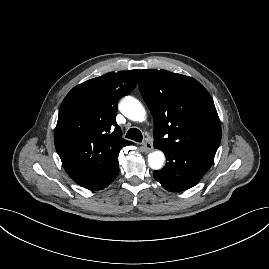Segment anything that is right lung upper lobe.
Here are the masks:
<instances>
[{
    "label": "right lung upper lobe",
    "mask_w": 269,
    "mask_h": 269,
    "mask_svg": "<svg viewBox=\"0 0 269 269\" xmlns=\"http://www.w3.org/2000/svg\"><path fill=\"white\" fill-rule=\"evenodd\" d=\"M140 70L110 72L74 87L64 98L54 141L67 174L84 186L110 166L122 147L117 104L137 84Z\"/></svg>",
    "instance_id": "right-lung-upper-lobe-1"
}]
</instances>
